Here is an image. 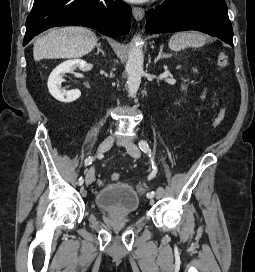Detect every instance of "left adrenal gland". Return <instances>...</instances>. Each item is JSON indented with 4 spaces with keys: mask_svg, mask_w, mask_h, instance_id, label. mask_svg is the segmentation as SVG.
Instances as JSON below:
<instances>
[{
    "mask_svg": "<svg viewBox=\"0 0 255 272\" xmlns=\"http://www.w3.org/2000/svg\"><path fill=\"white\" fill-rule=\"evenodd\" d=\"M163 47H164V45H161L160 48H159L158 55H157V57H156L155 60H154V63H155V64H156L157 61H159L160 59H164V58L166 59V58L171 57V54H169V53H163Z\"/></svg>",
    "mask_w": 255,
    "mask_h": 272,
    "instance_id": "a2214340",
    "label": "left adrenal gland"
}]
</instances>
